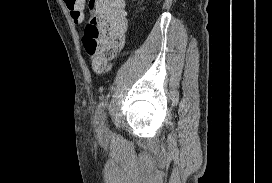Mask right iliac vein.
Wrapping results in <instances>:
<instances>
[{
  "label": "right iliac vein",
  "mask_w": 272,
  "mask_h": 183,
  "mask_svg": "<svg viewBox=\"0 0 272 183\" xmlns=\"http://www.w3.org/2000/svg\"><path fill=\"white\" fill-rule=\"evenodd\" d=\"M99 132H100V134L105 133V128H104V127H102L101 129H99Z\"/></svg>",
  "instance_id": "right-iliac-vein-1"
}]
</instances>
